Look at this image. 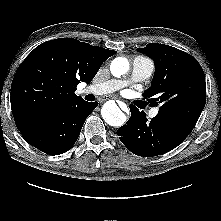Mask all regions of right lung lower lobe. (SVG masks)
I'll return each instance as SVG.
<instances>
[{"label": "right lung lower lobe", "mask_w": 221, "mask_h": 221, "mask_svg": "<svg viewBox=\"0 0 221 221\" xmlns=\"http://www.w3.org/2000/svg\"><path fill=\"white\" fill-rule=\"evenodd\" d=\"M98 102L79 101L68 109L42 118L21 131L25 140L50 155L68 151Z\"/></svg>", "instance_id": "obj_1"}]
</instances>
